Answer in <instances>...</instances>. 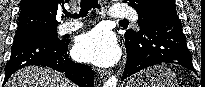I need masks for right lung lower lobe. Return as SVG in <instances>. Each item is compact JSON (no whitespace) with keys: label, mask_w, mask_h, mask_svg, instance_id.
<instances>
[{"label":"right lung lower lobe","mask_w":205,"mask_h":87,"mask_svg":"<svg viewBox=\"0 0 205 87\" xmlns=\"http://www.w3.org/2000/svg\"><path fill=\"white\" fill-rule=\"evenodd\" d=\"M69 41L43 36L15 38L11 57L5 67L4 84L18 69L28 65L51 67L65 74L80 87H93V70L84 64L71 61L67 54Z\"/></svg>","instance_id":"1"}]
</instances>
